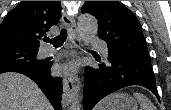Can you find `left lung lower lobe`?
Wrapping results in <instances>:
<instances>
[{
  "label": "left lung lower lobe",
  "instance_id": "obj_1",
  "mask_svg": "<svg viewBox=\"0 0 171 110\" xmlns=\"http://www.w3.org/2000/svg\"><path fill=\"white\" fill-rule=\"evenodd\" d=\"M131 85L146 87L160 100L151 63L108 53L106 64L85 69L83 110H91L108 94Z\"/></svg>",
  "mask_w": 171,
  "mask_h": 110
}]
</instances>
